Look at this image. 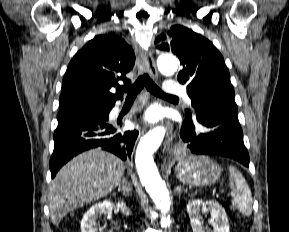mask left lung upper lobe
<instances>
[{
  "instance_id": "left-lung-upper-lobe-1",
  "label": "left lung upper lobe",
  "mask_w": 289,
  "mask_h": 232,
  "mask_svg": "<svg viewBox=\"0 0 289 232\" xmlns=\"http://www.w3.org/2000/svg\"><path fill=\"white\" fill-rule=\"evenodd\" d=\"M161 50H171L180 60L178 81L187 85L195 114L212 109L238 119L234 89L224 59L205 37L181 25H174L166 35L157 37ZM186 114L191 117L190 110Z\"/></svg>"
}]
</instances>
